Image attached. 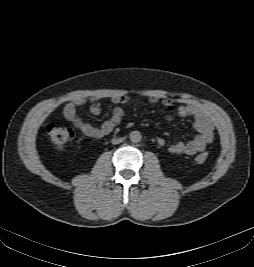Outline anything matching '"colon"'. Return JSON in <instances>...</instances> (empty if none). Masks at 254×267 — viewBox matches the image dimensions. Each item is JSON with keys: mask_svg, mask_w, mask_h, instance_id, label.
I'll return each mask as SVG.
<instances>
[{"mask_svg": "<svg viewBox=\"0 0 254 267\" xmlns=\"http://www.w3.org/2000/svg\"><path fill=\"white\" fill-rule=\"evenodd\" d=\"M46 132L50 141L60 151H63L75 136L73 130L70 127L59 124L48 125ZM207 159L208 154L205 152L198 154L195 158L196 162L200 164L206 162Z\"/></svg>", "mask_w": 254, "mask_h": 267, "instance_id": "colon-1", "label": "colon"}]
</instances>
